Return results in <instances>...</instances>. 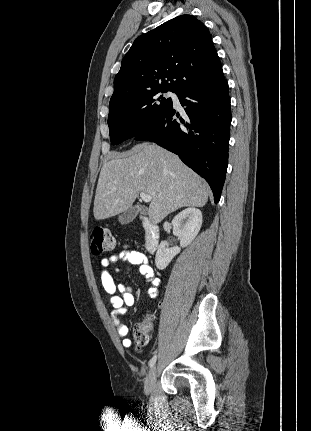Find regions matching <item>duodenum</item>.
<instances>
[{
  "mask_svg": "<svg viewBox=\"0 0 311 431\" xmlns=\"http://www.w3.org/2000/svg\"><path fill=\"white\" fill-rule=\"evenodd\" d=\"M141 220L146 234L145 248L149 253H155L159 246V228L147 217H142Z\"/></svg>",
  "mask_w": 311,
  "mask_h": 431,
  "instance_id": "duodenum-1",
  "label": "duodenum"
}]
</instances>
